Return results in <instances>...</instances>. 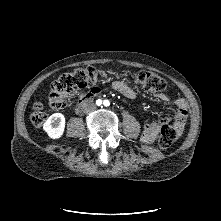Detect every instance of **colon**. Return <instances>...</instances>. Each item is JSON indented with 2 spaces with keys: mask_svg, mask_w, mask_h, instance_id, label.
<instances>
[{
  "mask_svg": "<svg viewBox=\"0 0 221 221\" xmlns=\"http://www.w3.org/2000/svg\"><path fill=\"white\" fill-rule=\"evenodd\" d=\"M115 72L111 69L87 67L77 69L71 73L61 75L51 86L49 94V105L54 109H61L66 106L68 97L78 90L90 89L96 91L100 82L113 76ZM123 77L129 76L122 72ZM143 90L148 92H161L166 88L165 80L153 73L142 70L131 75ZM47 118L40 103L35 104L31 114V122L34 126L40 127ZM178 133L172 124H164L160 130L159 146L161 149H168L177 139Z\"/></svg>",
  "mask_w": 221,
  "mask_h": 221,
  "instance_id": "obj_1",
  "label": "colon"
}]
</instances>
